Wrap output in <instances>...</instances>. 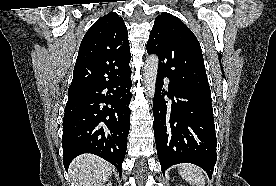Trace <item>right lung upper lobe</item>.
Wrapping results in <instances>:
<instances>
[{
	"instance_id": "1",
	"label": "right lung upper lobe",
	"mask_w": 276,
	"mask_h": 186,
	"mask_svg": "<svg viewBox=\"0 0 276 186\" xmlns=\"http://www.w3.org/2000/svg\"><path fill=\"white\" fill-rule=\"evenodd\" d=\"M126 25L117 13L98 19L86 32L79 47L69 91L100 87L131 73Z\"/></svg>"
}]
</instances>
